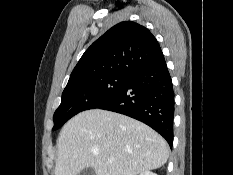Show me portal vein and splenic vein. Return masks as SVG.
<instances>
[{
  "label": "portal vein and splenic vein",
  "instance_id": "obj_1",
  "mask_svg": "<svg viewBox=\"0 0 233 175\" xmlns=\"http://www.w3.org/2000/svg\"><path fill=\"white\" fill-rule=\"evenodd\" d=\"M109 162H110V163H113V162H114V159H113V158L109 159Z\"/></svg>",
  "mask_w": 233,
  "mask_h": 175
}]
</instances>
